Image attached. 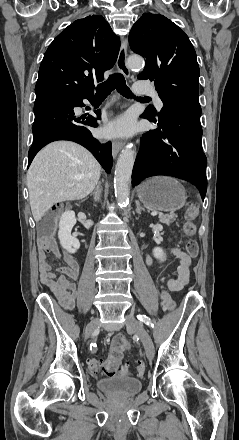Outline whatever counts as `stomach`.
<instances>
[{"label":"stomach","instance_id":"obj_1","mask_svg":"<svg viewBox=\"0 0 239 440\" xmlns=\"http://www.w3.org/2000/svg\"><path fill=\"white\" fill-rule=\"evenodd\" d=\"M136 192L146 208L159 212H176L185 206L187 200L185 188L177 180L167 176L149 178L137 186Z\"/></svg>","mask_w":239,"mask_h":440}]
</instances>
